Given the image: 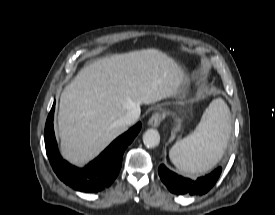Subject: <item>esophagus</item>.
<instances>
[{
  "instance_id": "1",
  "label": "esophagus",
  "mask_w": 275,
  "mask_h": 215,
  "mask_svg": "<svg viewBox=\"0 0 275 215\" xmlns=\"http://www.w3.org/2000/svg\"><path fill=\"white\" fill-rule=\"evenodd\" d=\"M165 114L161 111L155 112L149 119L148 125L151 127H158L161 121L164 119Z\"/></svg>"
}]
</instances>
